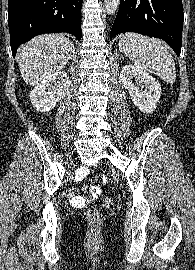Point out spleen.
<instances>
[{"mask_svg": "<svg viewBox=\"0 0 195 270\" xmlns=\"http://www.w3.org/2000/svg\"><path fill=\"white\" fill-rule=\"evenodd\" d=\"M118 46L136 67L157 75L167 83L175 82L174 59L168 47L160 40L137 33H126L120 39Z\"/></svg>", "mask_w": 195, "mask_h": 270, "instance_id": "3e777b00", "label": "spleen"}]
</instances>
